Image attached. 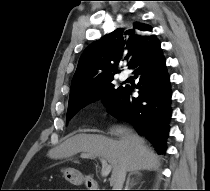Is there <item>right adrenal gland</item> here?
Instances as JSON below:
<instances>
[{
	"mask_svg": "<svg viewBox=\"0 0 210 191\" xmlns=\"http://www.w3.org/2000/svg\"><path fill=\"white\" fill-rule=\"evenodd\" d=\"M132 175H135V176L139 177V176H141V173L140 172H133V173H130L128 175L125 190H129V187H132L136 184V182H134V181L131 182V176Z\"/></svg>",
	"mask_w": 210,
	"mask_h": 191,
	"instance_id": "1",
	"label": "right adrenal gland"
}]
</instances>
